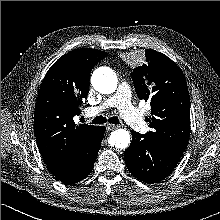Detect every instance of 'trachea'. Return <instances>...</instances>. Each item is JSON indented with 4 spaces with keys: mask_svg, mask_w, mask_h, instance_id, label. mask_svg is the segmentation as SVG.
<instances>
[{
    "mask_svg": "<svg viewBox=\"0 0 220 220\" xmlns=\"http://www.w3.org/2000/svg\"><path fill=\"white\" fill-rule=\"evenodd\" d=\"M109 122L111 124H120V121L117 117H110L109 119H106L104 116H97L92 120V124H103L106 122Z\"/></svg>",
    "mask_w": 220,
    "mask_h": 220,
    "instance_id": "obj_1",
    "label": "trachea"
}]
</instances>
